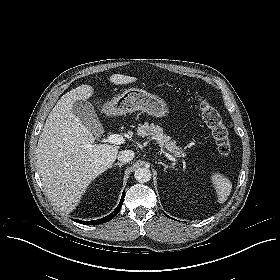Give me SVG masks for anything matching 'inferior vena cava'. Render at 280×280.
I'll use <instances>...</instances> for the list:
<instances>
[{
  "label": "inferior vena cava",
  "instance_id": "inferior-vena-cava-1",
  "mask_svg": "<svg viewBox=\"0 0 280 280\" xmlns=\"http://www.w3.org/2000/svg\"><path fill=\"white\" fill-rule=\"evenodd\" d=\"M134 158V152L132 150L120 151L117 155V159L122 163H128Z\"/></svg>",
  "mask_w": 280,
  "mask_h": 280
}]
</instances>
